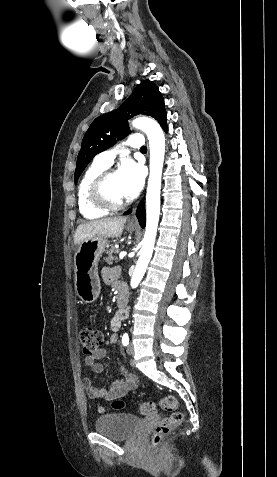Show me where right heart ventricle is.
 <instances>
[{"mask_svg": "<svg viewBox=\"0 0 277 477\" xmlns=\"http://www.w3.org/2000/svg\"><path fill=\"white\" fill-rule=\"evenodd\" d=\"M107 167L95 161L84 173L77 191L78 207L81 215L86 219H98L107 215V211L96 208L88 198V188L93 179Z\"/></svg>", "mask_w": 277, "mask_h": 477, "instance_id": "e07e8e85", "label": "right heart ventricle"}]
</instances>
